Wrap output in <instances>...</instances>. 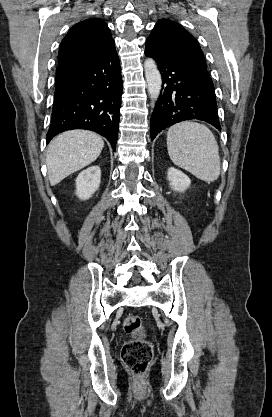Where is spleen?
Masks as SVG:
<instances>
[{
    "instance_id": "1",
    "label": "spleen",
    "mask_w": 272,
    "mask_h": 417,
    "mask_svg": "<svg viewBox=\"0 0 272 417\" xmlns=\"http://www.w3.org/2000/svg\"><path fill=\"white\" fill-rule=\"evenodd\" d=\"M167 148L175 165L206 182L218 179L219 147L213 133L205 125L192 121L173 125L167 133Z\"/></svg>"
}]
</instances>
